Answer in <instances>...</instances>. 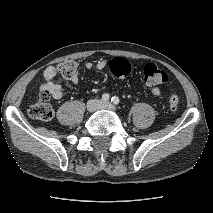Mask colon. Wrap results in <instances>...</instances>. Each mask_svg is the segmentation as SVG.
Returning <instances> with one entry per match:
<instances>
[{"label": "colon", "instance_id": "obj_1", "mask_svg": "<svg viewBox=\"0 0 213 213\" xmlns=\"http://www.w3.org/2000/svg\"><path fill=\"white\" fill-rule=\"evenodd\" d=\"M60 74L66 79H72L77 76L78 66L73 60H67L59 65ZM110 70L116 77H127L131 72V66L128 61L122 58H115L110 62ZM142 75L144 82L148 86H159L167 82V74L157 65L147 63L143 66ZM50 94L47 91H42L39 99L30 106L29 115L40 121H50L54 116V110L49 102ZM169 107L171 110H176L179 106V96L172 94L169 97Z\"/></svg>", "mask_w": 213, "mask_h": 213}]
</instances>
